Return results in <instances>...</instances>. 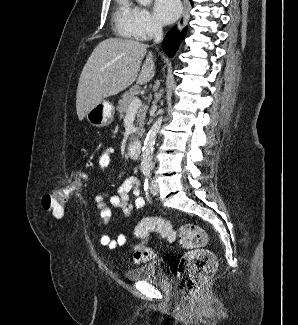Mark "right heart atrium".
Returning a JSON list of instances; mask_svg holds the SVG:
<instances>
[{"instance_id":"obj_1","label":"right heart atrium","mask_w":298,"mask_h":325,"mask_svg":"<svg viewBox=\"0 0 298 325\" xmlns=\"http://www.w3.org/2000/svg\"><path fill=\"white\" fill-rule=\"evenodd\" d=\"M135 24L137 25H131L128 31L131 41H152L153 30H160L154 17L145 6L136 7Z\"/></svg>"}]
</instances>
